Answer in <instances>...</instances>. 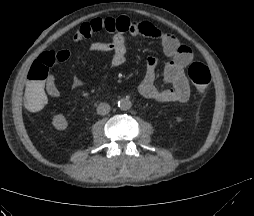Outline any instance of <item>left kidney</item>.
Wrapping results in <instances>:
<instances>
[{
  "instance_id": "obj_1",
  "label": "left kidney",
  "mask_w": 254,
  "mask_h": 216,
  "mask_svg": "<svg viewBox=\"0 0 254 216\" xmlns=\"http://www.w3.org/2000/svg\"><path fill=\"white\" fill-rule=\"evenodd\" d=\"M176 121H177V122H181V121H182V118H181V117H177V118H176Z\"/></svg>"
}]
</instances>
